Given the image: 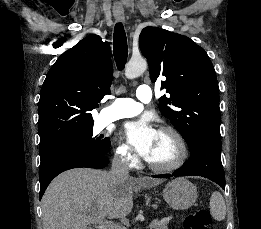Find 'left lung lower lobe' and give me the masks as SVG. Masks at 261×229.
<instances>
[{"label": "left lung lower lobe", "mask_w": 261, "mask_h": 229, "mask_svg": "<svg viewBox=\"0 0 261 229\" xmlns=\"http://www.w3.org/2000/svg\"><path fill=\"white\" fill-rule=\"evenodd\" d=\"M190 159L173 174L153 175L155 178L202 176L225 188V174L221 163V140L201 138L189 148Z\"/></svg>", "instance_id": "left-lung-lower-lobe-1"}]
</instances>
